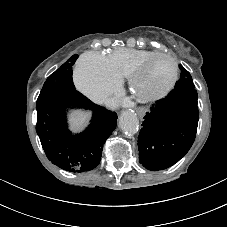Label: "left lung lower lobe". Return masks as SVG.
<instances>
[{
  "mask_svg": "<svg viewBox=\"0 0 227 227\" xmlns=\"http://www.w3.org/2000/svg\"><path fill=\"white\" fill-rule=\"evenodd\" d=\"M197 100L194 87L175 88L146 113L138 137L139 161L146 169L169 168L189 151L199 120Z\"/></svg>",
  "mask_w": 227,
  "mask_h": 227,
  "instance_id": "1",
  "label": "left lung lower lobe"
}]
</instances>
